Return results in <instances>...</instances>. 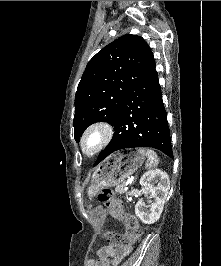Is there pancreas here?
Here are the masks:
<instances>
[{
    "label": "pancreas",
    "mask_w": 221,
    "mask_h": 266,
    "mask_svg": "<svg viewBox=\"0 0 221 266\" xmlns=\"http://www.w3.org/2000/svg\"><path fill=\"white\" fill-rule=\"evenodd\" d=\"M115 191L119 194H124L128 192V189H126L125 184H120L115 187Z\"/></svg>",
    "instance_id": "cf45deb5"
}]
</instances>
